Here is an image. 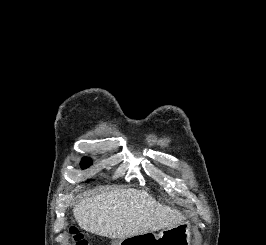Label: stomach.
I'll return each instance as SVG.
<instances>
[{
	"label": "stomach",
	"instance_id": "0dacf381",
	"mask_svg": "<svg viewBox=\"0 0 266 245\" xmlns=\"http://www.w3.org/2000/svg\"><path fill=\"white\" fill-rule=\"evenodd\" d=\"M191 223H182L177 227H168L160 231L158 237L156 233H134V237H124V242H158L160 245H190Z\"/></svg>",
	"mask_w": 266,
	"mask_h": 245
}]
</instances>
